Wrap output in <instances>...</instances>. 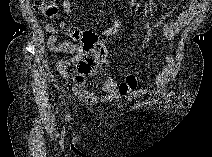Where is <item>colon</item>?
<instances>
[{"label":"colon","mask_w":212,"mask_h":157,"mask_svg":"<svg viewBox=\"0 0 212 157\" xmlns=\"http://www.w3.org/2000/svg\"><path fill=\"white\" fill-rule=\"evenodd\" d=\"M33 5L44 17L53 21L58 20V9L53 1L35 0ZM69 33L74 39L83 42L85 57L79 63L78 74L75 76V82L82 85L86 77L107 68L108 50L93 33H84L77 27H70Z\"/></svg>","instance_id":"obj_1"}]
</instances>
